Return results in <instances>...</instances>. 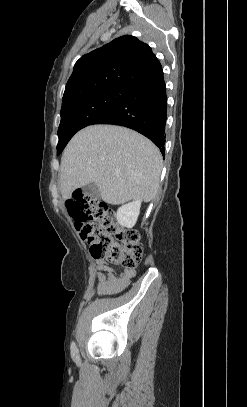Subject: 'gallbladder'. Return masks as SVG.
I'll return each instance as SVG.
<instances>
[{"mask_svg":"<svg viewBox=\"0 0 247 407\" xmlns=\"http://www.w3.org/2000/svg\"><path fill=\"white\" fill-rule=\"evenodd\" d=\"M83 194L94 200H100L101 195L98 186L95 183H89L83 187Z\"/></svg>","mask_w":247,"mask_h":407,"instance_id":"obj_1","label":"gallbladder"}]
</instances>
